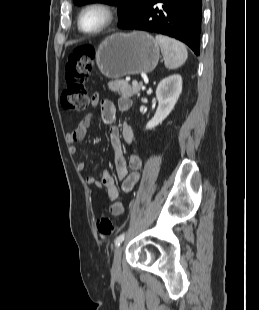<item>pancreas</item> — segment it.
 <instances>
[{
    "mask_svg": "<svg viewBox=\"0 0 259 310\" xmlns=\"http://www.w3.org/2000/svg\"><path fill=\"white\" fill-rule=\"evenodd\" d=\"M141 84L136 86H130L127 81L116 80L108 83V87L111 91L118 93L122 97H132L138 94L141 90Z\"/></svg>",
    "mask_w": 259,
    "mask_h": 310,
    "instance_id": "1",
    "label": "pancreas"
}]
</instances>
